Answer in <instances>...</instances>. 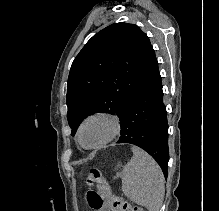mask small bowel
<instances>
[{"mask_svg": "<svg viewBox=\"0 0 219 211\" xmlns=\"http://www.w3.org/2000/svg\"><path fill=\"white\" fill-rule=\"evenodd\" d=\"M87 201L92 211H111L109 204L101 199L99 194L95 192H88Z\"/></svg>", "mask_w": 219, "mask_h": 211, "instance_id": "obj_1", "label": "small bowel"}]
</instances>
